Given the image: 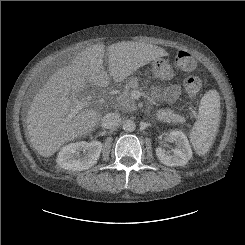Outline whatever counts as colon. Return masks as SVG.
I'll use <instances>...</instances> for the list:
<instances>
[{"instance_id":"1","label":"colon","mask_w":245,"mask_h":245,"mask_svg":"<svg viewBox=\"0 0 245 245\" xmlns=\"http://www.w3.org/2000/svg\"><path fill=\"white\" fill-rule=\"evenodd\" d=\"M175 63L177 68L183 72H191L196 66L194 56L187 49H181L176 52ZM183 86L189 99H196L202 90V82L198 76L186 78Z\"/></svg>"}]
</instances>
